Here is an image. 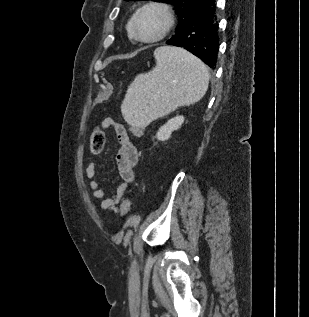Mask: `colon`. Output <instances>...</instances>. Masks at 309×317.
<instances>
[{"label": "colon", "instance_id": "obj_1", "mask_svg": "<svg viewBox=\"0 0 309 317\" xmlns=\"http://www.w3.org/2000/svg\"><path fill=\"white\" fill-rule=\"evenodd\" d=\"M141 130L139 128L135 129V134L140 135ZM105 136L104 133L97 129L93 132L91 136V148L94 152H100L104 146ZM121 211L124 215L128 214L130 211V201L128 198H125L121 202Z\"/></svg>", "mask_w": 309, "mask_h": 317}]
</instances>
